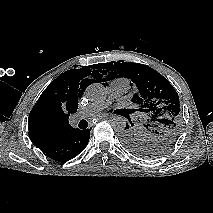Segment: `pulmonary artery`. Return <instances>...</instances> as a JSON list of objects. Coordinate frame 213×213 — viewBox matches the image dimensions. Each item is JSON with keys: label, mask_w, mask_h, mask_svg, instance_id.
<instances>
[{"label": "pulmonary artery", "mask_w": 213, "mask_h": 213, "mask_svg": "<svg viewBox=\"0 0 213 213\" xmlns=\"http://www.w3.org/2000/svg\"><path fill=\"white\" fill-rule=\"evenodd\" d=\"M129 87L130 82L128 79L119 78L111 81L107 89V98L98 102L91 103L88 106L81 108L79 113L75 116L74 120L94 115L110 103L118 100L123 94L128 91Z\"/></svg>", "instance_id": "1"}]
</instances>
